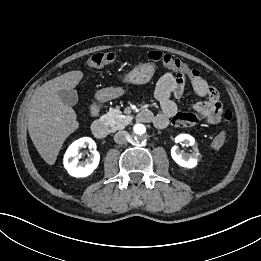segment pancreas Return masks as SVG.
I'll use <instances>...</instances> for the list:
<instances>
[{"label":"pancreas","instance_id":"obj_1","mask_svg":"<svg viewBox=\"0 0 261 261\" xmlns=\"http://www.w3.org/2000/svg\"><path fill=\"white\" fill-rule=\"evenodd\" d=\"M104 120L112 131H116L127 126L130 123L131 118L122 115V112L119 109H110L109 112L104 115Z\"/></svg>","mask_w":261,"mask_h":261}]
</instances>
